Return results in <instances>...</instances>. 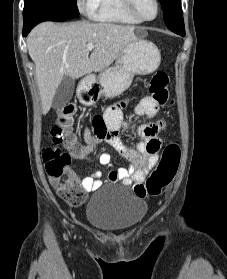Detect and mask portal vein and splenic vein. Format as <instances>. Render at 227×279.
<instances>
[{"mask_svg":"<svg viewBox=\"0 0 227 279\" xmlns=\"http://www.w3.org/2000/svg\"><path fill=\"white\" fill-rule=\"evenodd\" d=\"M94 49V45L93 44H88L87 45V51H92Z\"/></svg>","mask_w":227,"mask_h":279,"instance_id":"obj_1","label":"portal vein and splenic vein"}]
</instances>
